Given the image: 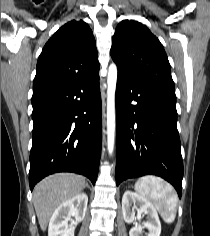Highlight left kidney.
<instances>
[{"label": "left kidney", "mask_w": 210, "mask_h": 236, "mask_svg": "<svg viewBox=\"0 0 210 236\" xmlns=\"http://www.w3.org/2000/svg\"><path fill=\"white\" fill-rule=\"evenodd\" d=\"M132 204L134 207L131 209ZM136 211L137 218L147 215L148 221L142 223V225L139 224L132 227L129 231V236H140L144 228L148 229L147 236H160L161 223L154 206L139 194L127 190L122 197V213L125 222H133L136 219Z\"/></svg>", "instance_id": "5707ae66"}]
</instances>
